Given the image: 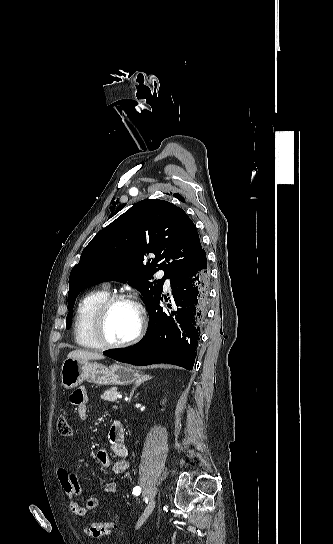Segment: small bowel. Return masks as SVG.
Returning <instances> with one entry per match:
<instances>
[{"label":"small bowel","instance_id":"1","mask_svg":"<svg viewBox=\"0 0 333 544\" xmlns=\"http://www.w3.org/2000/svg\"><path fill=\"white\" fill-rule=\"evenodd\" d=\"M89 397L85 388L81 387L70 395V402L75 406L77 415L81 420L88 416ZM109 445L100 450L97 454V462L103 468H110L114 474H123L129 469L128 449L124 442V432L118 421H113L108 432ZM111 456L119 458L112 462ZM59 482L68 496L71 512L78 516H84L88 510L98 507L99 500L96 497H85L79 485L78 477L74 472L61 467L58 469ZM117 491V484L109 482L104 487L106 494H114ZM84 500V503H81Z\"/></svg>","mask_w":333,"mask_h":544}]
</instances>
